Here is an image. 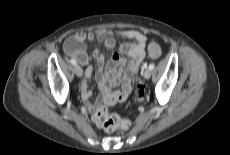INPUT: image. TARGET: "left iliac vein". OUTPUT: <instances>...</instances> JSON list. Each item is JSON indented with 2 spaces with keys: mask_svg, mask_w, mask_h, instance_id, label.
<instances>
[{
  "mask_svg": "<svg viewBox=\"0 0 230 155\" xmlns=\"http://www.w3.org/2000/svg\"><path fill=\"white\" fill-rule=\"evenodd\" d=\"M143 76L145 79H149L151 77V70L150 69H145L143 71Z\"/></svg>",
  "mask_w": 230,
  "mask_h": 155,
  "instance_id": "1",
  "label": "left iliac vein"
}]
</instances>
